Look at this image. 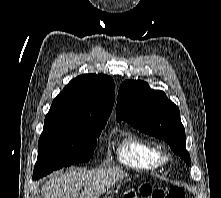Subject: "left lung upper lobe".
<instances>
[{"mask_svg": "<svg viewBox=\"0 0 221 198\" xmlns=\"http://www.w3.org/2000/svg\"><path fill=\"white\" fill-rule=\"evenodd\" d=\"M116 116L118 122L125 120L141 132L165 140L175 154L191 165L179 108L163 91L150 89L144 81L123 82L118 92Z\"/></svg>", "mask_w": 221, "mask_h": 198, "instance_id": "left-lung-upper-lobe-1", "label": "left lung upper lobe"}]
</instances>
